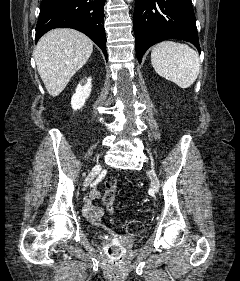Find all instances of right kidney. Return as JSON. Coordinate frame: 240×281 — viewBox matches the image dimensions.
<instances>
[{
    "label": "right kidney",
    "mask_w": 240,
    "mask_h": 281,
    "mask_svg": "<svg viewBox=\"0 0 240 281\" xmlns=\"http://www.w3.org/2000/svg\"><path fill=\"white\" fill-rule=\"evenodd\" d=\"M91 78H88L86 82H81L76 88L75 94L71 98V106L74 110L82 108L86 99L91 93Z\"/></svg>",
    "instance_id": "obj_1"
}]
</instances>
